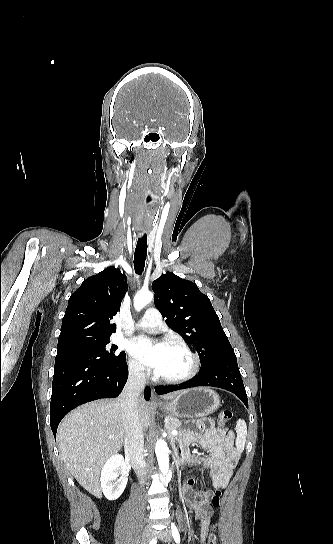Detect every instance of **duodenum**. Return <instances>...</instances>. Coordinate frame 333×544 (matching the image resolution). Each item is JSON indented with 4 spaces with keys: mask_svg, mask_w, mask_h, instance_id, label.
Wrapping results in <instances>:
<instances>
[{
    "mask_svg": "<svg viewBox=\"0 0 333 544\" xmlns=\"http://www.w3.org/2000/svg\"><path fill=\"white\" fill-rule=\"evenodd\" d=\"M126 456L131 460V462L134 464V466H137L136 461L134 460V451L131 448H128L126 450ZM182 460V457L180 455L177 456V463H180Z\"/></svg>",
    "mask_w": 333,
    "mask_h": 544,
    "instance_id": "obj_1",
    "label": "duodenum"
}]
</instances>
